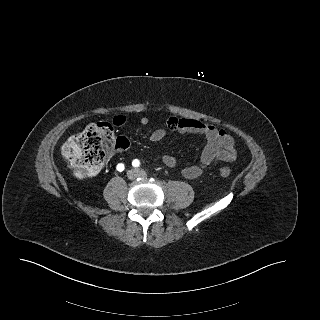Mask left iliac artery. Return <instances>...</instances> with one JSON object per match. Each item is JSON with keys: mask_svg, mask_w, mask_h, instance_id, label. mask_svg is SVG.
Returning <instances> with one entry per match:
<instances>
[{"mask_svg": "<svg viewBox=\"0 0 320 320\" xmlns=\"http://www.w3.org/2000/svg\"><path fill=\"white\" fill-rule=\"evenodd\" d=\"M132 165L134 167H138L140 165V161L138 159L133 160Z\"/></svg>", "mask_w": 320, "mask_h": 320, "instance_id": "left-iliac-artery-1", "label": "left iliac artery"}]
</instances>
